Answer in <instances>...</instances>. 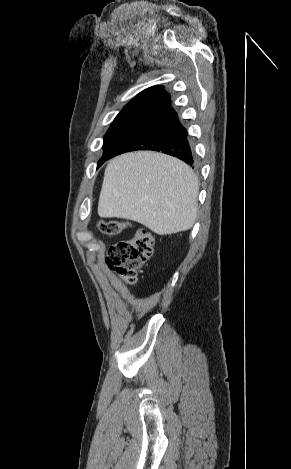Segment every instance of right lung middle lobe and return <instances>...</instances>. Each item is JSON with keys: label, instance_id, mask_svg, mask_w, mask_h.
Masks as SVG:
<instances>
[{"label": "right lung middle lobe", "instance_id": "1", "mask_svg": "<svg viewBox=\"0 0 291 469\" xmlns=\"http://www.w3.org/2000/svg\"><path fill=\"white\" fill-rule=\"evenodd\" d=\"M151 117L149 114L126 112L119 113L114 119L109 130L104 137V155L98 162V166H101L111 154V152L128 136L135 132Z\"/></svg>", "mask_w": 291, "mask_h": 469}]
</instances>
